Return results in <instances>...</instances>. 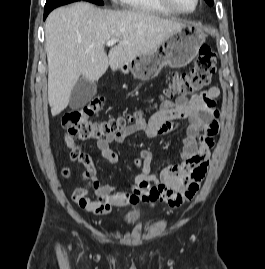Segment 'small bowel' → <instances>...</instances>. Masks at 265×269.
<instances>
[{"mask_svg":"<svg viewBox=\"0 0 265 269\" xmlns=\"http://www.w3.org/2000/svg\"><path fill=\"white\" fill-rule=\"evenodd\" d=\"M219 93L218 87L214 86L191 98L167 99L149 120L140 119L115 136L97 139L96 148L100 155L105 160L116 163L120 156L112 148L113 142H122L137 132L151 138L168 134L175 129V122L187 120L188 124L180 141L181 162L165 168L157 178L151 173L154 160L152 153L146 149L140 150L135 161L139 173L128 191H120L114 186L102 184L93 163V155L86 153L77 141H70L67 147L70 149L71 160L83 166L82 179L89 184L94 194V198H91L88 188H77L71 195L73 202L90 213L104 215L115 207L152 202L148 189L153 185L163 187L167 193L172 194L167 200L172 206L191 199L190 188L194 187L197 191L208 170L213 147V134H210L209 130L213 124L218 128L216 120L219 113L215 107V98Z\"/></svg>","mask_w":265,"mask_h":269,"instance_id":"1","label":"small bowel"}]
</instances>
